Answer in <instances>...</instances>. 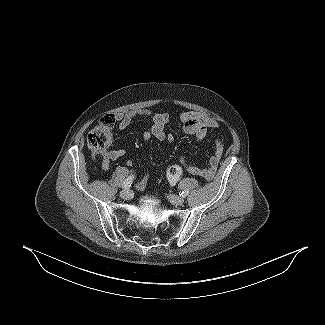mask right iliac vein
<instances>
[{
	"instance_id": "1",
	"label": "right iliac vein",
	"mask_w": 325,
	"mask_h": 325,
	"mask_svg": "<svg viewBox=\"0 0 325 325\" xmlns=\"http://www.w3.org/2000/svg\"><path fill=\"white\" fill-rule=\"evenodd\" d=\"M120 196L122 199L124 200H130L132 198V192L127 189V190H123L121 193H120Z\"/></svg>"
}]
</instances>
